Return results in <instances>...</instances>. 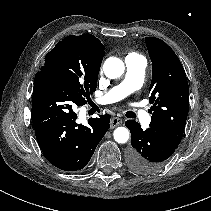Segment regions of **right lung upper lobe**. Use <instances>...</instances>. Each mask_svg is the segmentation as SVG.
Returning <instances> with one entry per match:
<instances>
[{"label":"right lung upper lobe","instance_id":"obj_1","mask_svg":"<svg viewBox=\"0 0 211 211\" xmlns=\"http://www.w3.org/2000/svg\"><path fill=\"white\" fill-rule=\"evenodd\" d=\"M74 37L77 42L88 47L93 52L95 58L97 59L98 65L100 66L102 59L105 55L104 46L102 45L100 40L95 36H93L92 34H82L80 36H74Z\"/></svg>","mask_w":211,"mask_h":211}]
</instances>
